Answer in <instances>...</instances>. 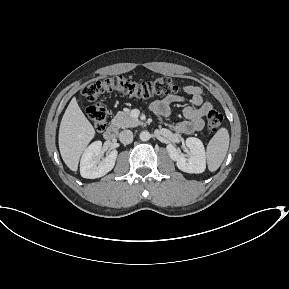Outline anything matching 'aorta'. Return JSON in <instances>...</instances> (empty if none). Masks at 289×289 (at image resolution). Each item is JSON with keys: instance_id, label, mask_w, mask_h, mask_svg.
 <instances>
[{"instance_id": "1", "label": "aorta", "mask_w": 289, "mask_h": 289, "mask_svg": "<svg viewBox=\"0 0 289 289\" xmlns=\"http://www.w3.org/2000/svg\"><path fill=\"white\" fill-rule=\"evenodd\" d=\"M151 138V134L148 131H142L140 133V140L148 141Z\"/></svg>"}]
</instances>
